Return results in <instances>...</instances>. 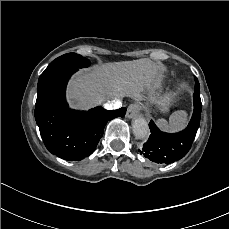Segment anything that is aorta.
Wrapping results in <instances>:
<instances>
[{"instance_id":"1","label":"aorta","mask_w":229,"mask_h":229,"mask_svg":"<svg viewBox=\"0 0 229 229\" xmlns=\"http://www.w3.org/2000/svg\"><path fill=\"white\" fill-rule=\"evenodd\" d=\"M132 130L137 139H146L150 133L147 121L140 117L133 120Z\"/></svg>"}]
</instances>
